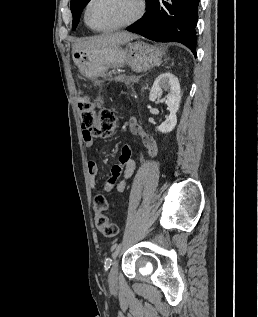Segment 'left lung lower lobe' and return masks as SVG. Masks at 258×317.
<instances>
[{
  "mask_svg": "<svg viewBox=\"0 0 258 317\" xmlns=\"http://www.w3.org/2000/svg\"><path fill=\"white\" fill-rule=\"evenodd\" d=\"M146 13L137 23L127 28L158 42H179L187 46L196 56V24L200 0H172L163 2L160 11L159 0H146Z\"/></svg>",
  "mask_w": 258,
  "mask_h": 317,
  "instance_id": "obj_1",
  "label": "left lung lower lobe"
}]
</instances>
